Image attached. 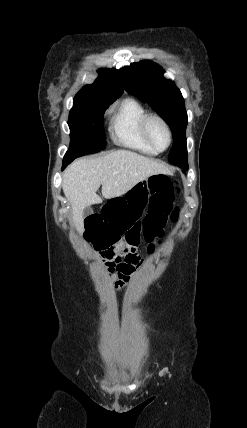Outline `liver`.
I'll return each mask as SVG.
<instances>
[{
	"instance_id": "1",
	"label": "liver",
	"mask_w": 247,
	"mask_h": 428,
	"mask_svg": "<svg viewBox=\"0 0 247 428\" xmlns=\"http://www.w3.org/2000/svg\"><path fill=\"white\" fill-rule=\"evenodd\" d=\"M169 173L162 163L129 150H117L103 157L81 158L63 175V192L72 207L73 222L82 229L83 211L102 203L97 190L102 185L106 199L119 197L146 178Z\"/></svg>"
}]
</instances>
